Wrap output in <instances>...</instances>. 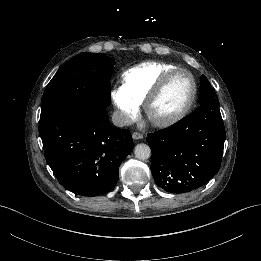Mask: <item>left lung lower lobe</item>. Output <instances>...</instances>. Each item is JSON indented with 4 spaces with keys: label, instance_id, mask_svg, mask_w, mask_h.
Masks as SVG:
<instances>
[{
    "label": "left lung lower lobe",
    "instance_id": "0a47b994",
    "mask_svg": "<svg viewBox=\"0 0 261 261\" xmlns=\"http://www.w3.org/2000/svg\"><path fill=\"white\" fill-rule=\"evenodd\" d=\"M151 170L158 187L185 193L207 184L220 169L225 127L218 102L209 100L178 123L148 134Z\"/></svg>",
    "mask_w": 261,
    "mask_h": 261
}]
</instances>
